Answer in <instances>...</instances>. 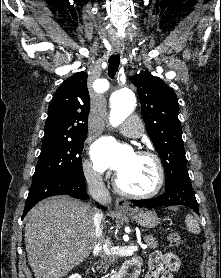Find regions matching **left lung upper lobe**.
Segmentation results:
<instances>
[{
  "label": "left lung upper lobe",
  "instance_id": "1",
  "mask_svg": "<svg viewBox=\"0 0 221 278\" xmlns=\"http://www.w3.org/2000/svg\"><path fill=\"white\" fill-rule=\"evenodd\" d=\"M131 81L137 87L142 117L169 186L176 178L188 175L176 94L160 78L146 71L134 75Z\"/></svg>",
  "mask_w": 221,
  "mask_h": 278
}]
</instances>
